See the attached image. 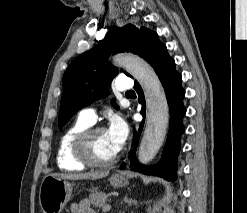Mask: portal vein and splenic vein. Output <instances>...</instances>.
<instances>
[{
	"label": "portal vein and splenic vein",
	"mask_w": 247,
	"mask_h": 213,
	"mask_svg": "<svg viewBox=\"0 0 247 213\" xmlns=\"http://www.w3.org/2000/svg\"><path fill=\"white\" fill-rule=\"evenodd\" d=\"M111 208L110 204H105L103 211H109Z\"/></svg>",
	"instance_id": "18ae733b"
}]
</instances>
